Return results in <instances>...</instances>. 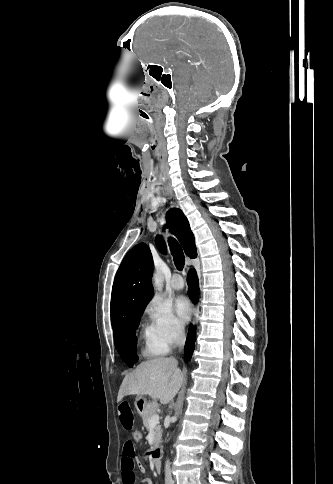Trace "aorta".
I'll use <instances>...</instances> for the list:
<instances>
[{
  "label": "aorta",
  "instance_id": "762f6f07",
  "mask_svg": "<svg viewBox=\"0 0 333 484\" xmlns=\"http://www.w3.org/2000/svg\"><path fill=\"white\" fill-rule=\"evenodd\" d=\"M153 283H154V287L158 291H162V288H163V280H162V278L158 274H155L154 275V277H153Z\"/></svg>",
  "mask_w": 333,
  "mask_h": 484
}]
</instances>
